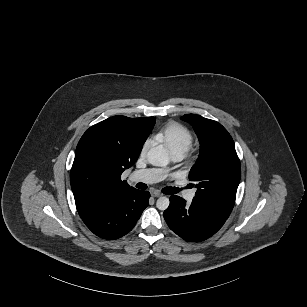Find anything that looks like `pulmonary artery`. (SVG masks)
<instances>
[{
	"label": "pulmonary artery",
	"mask_w": 307,
	"mask_h": 307,
	"mask_svg": "<svg viewBox=\"0 0 307 307\" xmlns=\"http://www.w3.org/2000/svg\"><path fill=\"white\" fill-rule=\"evenodd\" d=\"M175 159L182 158L181 153H172ZM165 171L157 168H151L148 170H140L130 172L129 178L134 179L137 175V180L140 183H158L165 177ZM175 188L179 191V196L182 199H189L192 196V189L188 186V181L185 178H178L175 181Z\"/></svg>",
	"instance_id": "obj_1"
}]
</instances>
